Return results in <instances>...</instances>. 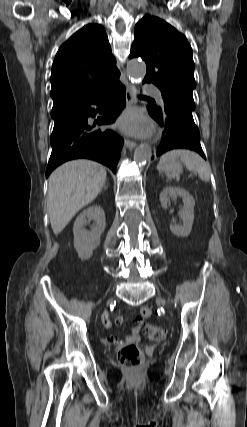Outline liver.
<instances>
[{"mask_svg":"<svg viewBox=\"0 0 247 427\" xmlns=\"http://www.w3.org/2000/svg\"><path fill=\"white\" fill-rule=\"evenodd\" d=\"M106 178L104 166L85 159L66 162L52 172L47 207L55 235L66 227L79 210L98 196Z\"/></svg>","mask_w":247,"mask_h":427,"instance_id":"liver-1","label":"liver"}]
</instances>
